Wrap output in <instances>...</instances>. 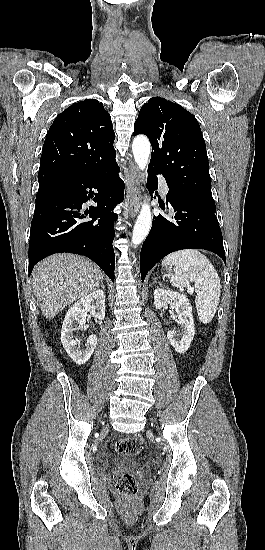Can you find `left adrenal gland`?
Listing matches in <instances>:
<instances>
[{
	"label": "left adrenal gland",
	"mask_w": 265,
	"mask_h": 550,
	"mask_svg": "<svg viewBox=\"0 0 265 550\" xmlns=\"http://www.w3.org/2000/svg\"><path fill=\"white\" fill-rule=\"evenodd\" d=\"M156 282H157L156 279H154L153 283H156Z\"/></svg>",
	"instance_id": "a2214340"
}]
</instances>
